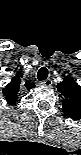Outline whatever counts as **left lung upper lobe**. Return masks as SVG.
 I'll return each mask as SVG.
<instances>
[{
  "label": "left lung upper lobe",
  "instance_id": "left-lung-upper-lobe-1",
  "mask_svg": "<svg viewBox=\"0 0 81 155\" xmlns=\"http://www.w3.org/2000/svg\"><path fill=\"white\" fill-rule=\"evenodd\" d=\"M63 100L62 106L66 116L79 120L81 119V86L72 77H65L57 85Z\"/></svg>",
  "mask_w": 81,
  "mask_h": 155
}]
</instances>
